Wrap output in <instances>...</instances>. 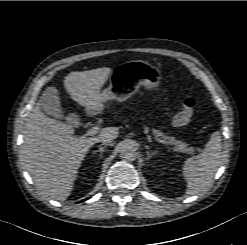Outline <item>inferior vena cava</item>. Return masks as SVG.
Returning <instances> with one entry per match:
<instances>
[{"instance_id":"1","label":"inferior vena cava","mask_w":247,"mask_h":245,"mask_svg":"<svg viewBox=\"0 0 247 245\" xmlns=\"http://www.w3.org/2000/svg\"><path fill=\"white\" fill-rule=\"evenodd\" d=\"M101 142H102V144H103L104 146L113 145L112 140H111V139H108V138L102 139Z\"/></svg>"}]
</instances>
